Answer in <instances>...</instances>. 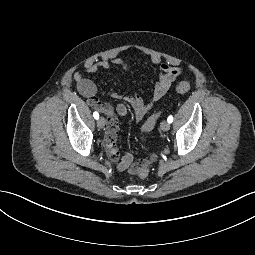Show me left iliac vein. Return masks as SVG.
Segmentation results:
<instances>
[{"label":"left iliac vein","instance_id":"4c4485c4","mask_svg":"<svg viewBox=\"0 0 255 255\" xmlns=\"http://www.w3.org/2000/svg\"><path fill=\"white\" fill-rule=\"evenodd\" d=\"M160 127H161V130L168 131L170 129V123L164 120L161 122Z\"/></svg>","mask_w":255,"mask_h":255}]
</instances>
